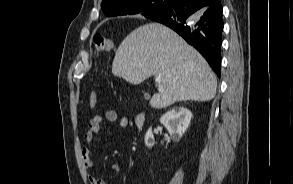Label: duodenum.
I'll use <instances>...</instances> for the list:
<instances>
[{
  "instance_id": "1",
  "label": "duodenum",
  "mask_w": 293,
  "mask_h": 184,
  "mask_svg": "<svg viewBox=\"0 0 293 184\" xmlns=\"http://www.w3.org/2000/svg\"><path fill=\"white\" fill-rule=\"evenodd\" d=\"M146 121V117L144 114H139L136 119H135V123L138 129H141Z\"/></svg>"
}]
</instances>
